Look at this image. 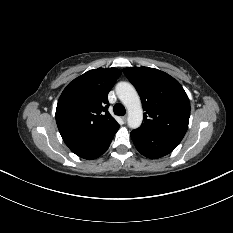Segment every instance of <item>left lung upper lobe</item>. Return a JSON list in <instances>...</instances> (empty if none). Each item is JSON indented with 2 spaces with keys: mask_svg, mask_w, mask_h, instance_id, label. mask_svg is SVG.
I'll return each instance as SVG.
<instances>
[{
  "mask_svg": "<svg viewBox=\"0 0 233 233\" xmlns=\"http://www.w3.org/2000/svg\"><path fill=\"white\" fill-rule=\"evenodd\" d=\"M139 92L144 122L140 129L183 139L189 123L190 102L180 83L158 69H123Z\"/></svg>",
  "mask_w": 233,
  "mask_h": 233,
  "instance_id": "obj_1",
  "label": "left lung upper lobe"
}]
</instances>
